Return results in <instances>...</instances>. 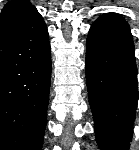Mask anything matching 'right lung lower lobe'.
Listing matches in <instances>:
<instances>
[{"label":"right lung lower lobe","mask_w":139,"mask_h":150,"mask_svg":"<svg viewBox=\"0 0 139 150\" xmlns=\"http://www.w3.org/2000/svg\"><path fill=\"white\" fill-rule=\"evenodd\" d=\"M51 49L37 10L0 29V150H41Z\"/></svg>","instance_id":"98d812e1"}]
</instances>
